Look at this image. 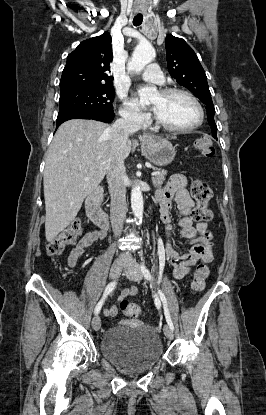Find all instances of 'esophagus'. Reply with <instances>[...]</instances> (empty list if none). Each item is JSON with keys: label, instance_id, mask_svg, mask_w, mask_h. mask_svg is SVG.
<instances>
[{"label": "esophagus", "instance_id": "esophagus-1", "mask_svg": "<svg viewBox=\"0 0 266 415\" xmlns=\"http://www.w3.org/2000/svg\"><path fill=\"white\" fill-rule=\"evenodd\" d=\"M147 137V135H143V138H146Z\"/></svg>", "mask_w": 266, "mask_h": 415}]
</instances>
